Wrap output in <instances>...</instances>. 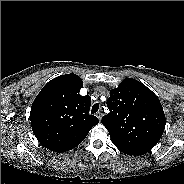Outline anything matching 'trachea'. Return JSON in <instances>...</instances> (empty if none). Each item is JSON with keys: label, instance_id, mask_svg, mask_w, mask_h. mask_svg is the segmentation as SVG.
Masks as SVG:
<instances>
[{"label": "trachea", "instance_id": "3493384b", "mask_svg": "<svg viewBox=\"0 0 184 184\" xmlns=\"http://www.w3.org/2000/svg\"><path fill=\"white\" fill-rule=\"evenodd\" d=\"M99 109V104L98 103H95L93 106H92V109H91V113L94 114L98 111Z\"/></svg>", "mask_w": 184, "mask_h": 184}]
</instances>
